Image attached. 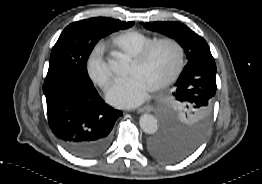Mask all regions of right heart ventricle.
<instances>
[{"instance_id":"1","label":"right heart ventricle","mask_w":262,"mask_h":184,"mask_svg":"<svg viewBox=\"0 0 262 184\" xmlns=\"http://www.w3.org/2000/svg\"><path fill=\"white\" fill-rule=\"evenodd\" d=\"M157 38L138 30H127L116 35L112 44L117 54L134 58L143 48Z\"/></svg>"}]
</instances>
